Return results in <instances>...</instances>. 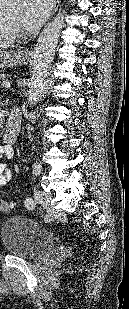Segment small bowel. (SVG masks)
Returning a JSON list of instances; mask_svg holds the SVG:
<instances>
[{
    "label": "small bowel",
    "instance_id": "obj_1",
    "mask_svg": "<svg viewBox=\"0 0 129 309\" xmlns=\"http://www.w3.org/2000/svg\"><path fill=\"white\" fill-rule=\"evenodd\" d=\"M13 147L8 144L0 145V157L8 159L13 157ZM12 179V169L6 163H0V186L7 185Z\"/></svg>",
    "mask_w": 129,
    "mask_h": 309
}]
</instances>
